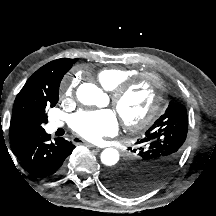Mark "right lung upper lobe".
<instances>
[{
  "instance_id": "1",
  "label": "right lung upper lobe",
  "mask_w": 216,
  "mask_h": 216,
  "mask_svg": "<svg viewBox=\"0 0 216 216\" xmlns=\"http://www.w3.org/2000/svg\"><path fill=\"white\" fill-rule=\"evenodd\" d=\"M77 59L61 58L38 69L18 93L10 123L12 150H16L43 120L45 111L58 102L60 82Z\"/></svg>"
}]
</instances>
